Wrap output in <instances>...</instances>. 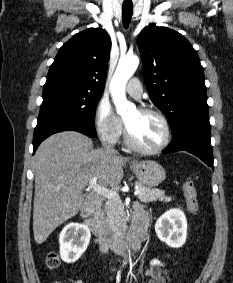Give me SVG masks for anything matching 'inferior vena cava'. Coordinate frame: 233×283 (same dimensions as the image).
I'll return each instance as SVG.
<instances>
[{
    "label": "inferior vena cava",
    "mask_w": 233,
    "mask_h": 283,
    "mask_svg": "<svg viewBox=\"0 0 233 283\" xmlns=\"http://www.w3.org/2000/svg\"><path fill=\"white\" fill-rule=\"evenodd\" d=\"M105 148L108 152L117 154V151L112 146H106Z\"/></svg>",
    "instance_id": "1"
}]
</instances>
